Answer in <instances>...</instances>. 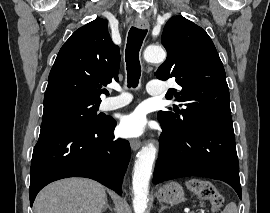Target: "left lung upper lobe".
Here are the masks:
<instances>
[{
  "instance_id": "left-lung-upper-lobe-1",
  "label": "left lung upper lobe",
  "mask_w": 270,
  "mask_h": 213,
  "mask_svg": "<svg viewBox=\"0 0 270 213\" xmlns=\"http://www.w3.org/2000/svg\"><path fill=\"white\" fill-rule=\"evenodd\" d=\"M161 41L167 58L155 75L160 80L175 78L180 89L169 90L166 98H175L182 108L159 111L158 119L177 130L197 121L232 124L225 70L206 31L174 16L166 23Z\"/></svg>"
}]
</instances>
